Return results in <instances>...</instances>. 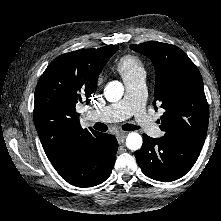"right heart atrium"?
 I'll list each match as a JSON object with an SVG mask.
<instances>
[{
  "label": "right heart atrium",
  "instance_id": "right-heart-atrium-1",
  "mask_svg": "<svg viewBox=\"0 0 221 221\" xmlns=\"http://www.w3.org/2000/svg\"><path fill=\"white\" fill-rule=\"evenodd\" d=\"M99 81H101L102 80V78L101 77H99V79H98Z\"/></svg>",
  "mask_w": 221,
  "mask_h": 221
}]
</instances>
